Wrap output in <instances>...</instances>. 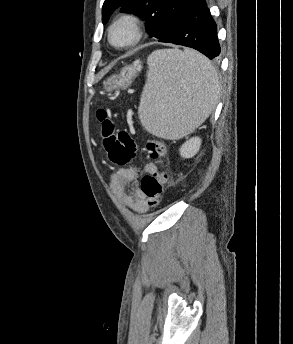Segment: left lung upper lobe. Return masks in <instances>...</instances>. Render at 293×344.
I'll return each instance as SVG.
<instances>
[{
    "label": "left lung upper lobe",
    "instance_id": "obj_1",
    "mask_svg": "<svg viewBox=\"0 0 293 344\" xmlns=\"http://www.w3.org/2000/svg\"><path fill=\"white\" fill-rule=\"evenodd\" d=\"M191 0H105L102 7V22L105 24L112 12L132 13L146 20L150 37L159 41L174 28Z\"/></svg>",
    "mask_w": 293,
    "mask_h": 344
}]
</instances>
